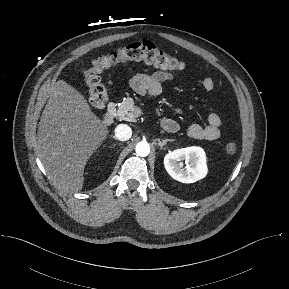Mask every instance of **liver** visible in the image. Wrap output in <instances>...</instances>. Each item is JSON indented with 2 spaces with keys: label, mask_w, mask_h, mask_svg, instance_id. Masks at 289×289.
<instances>
[{
  "label": "liver",
  "mask_w": 289,
  "mask_h": 289,
  "mask_svg": "<svg viewBox=\"0 0 289 289\" xmlns=\"http://www.w3.org/2000/svg\"><path fill=\"white\" fill-rule=\"evenodd\" d=\"M107 134V126L79 91L63 80L53 85L38 126L37 151L60 191L82 190L85 165Z\"/></svg>",
  "instance_id": "1"
}]
</instances>
